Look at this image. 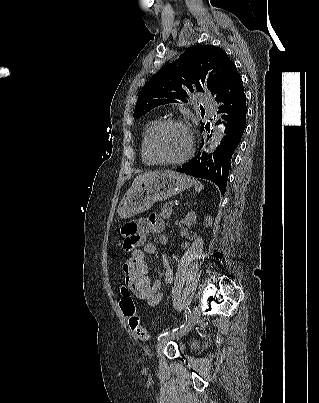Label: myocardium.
Returning <instances> with one entry per match:
<instances>
[{
	"label": "myocardium",
	"mask_w": 319,
	"mask_h": 403,
	"mask_svg": "<svg viewBox=\"0 0 319 403\" xmlns=\"http://www.w3.org/2000/svg\"><path fill=\"white\" fill-rule=\"evenodd\" d=\"M171 125L180 126L187 132L188 137H189V147H188L187 152L180 158L162 159L155 152V139L162 129H164L167 126H171ZM194 148H195V142H194L193 134H192L190 127L184 121H182L180 119H176V118H168V119L160 121L158 123V125L152 130V132L149 136V139H148V153H149L150 157L156 163H159V164L176 165V164L184 163L192 157Z\"/></svg>",
	"instance_id": "1"
}]
</instances>
